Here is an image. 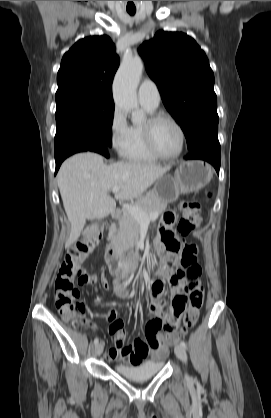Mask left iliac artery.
<instances>
[{
	"mask_svg": "<svg viewBox=\"0 0 271 418\" xmlns=\"http://www.w3.org/2000/svg\"><path fill=\"white\" fill-rule=\"evenodd\" d=\"M180 345H181L184 349H187V345H186V343H185L184 341H181V342H180Z\"/></svg>",
	"mask_w": 271,
	"mask_h": 418,
	"instance_id": "left-iliac-artery-1",
	"label": "left iliac artery"
}]
</instances>
